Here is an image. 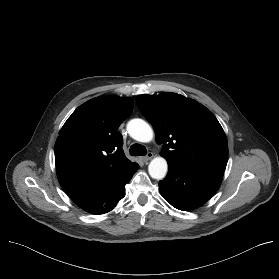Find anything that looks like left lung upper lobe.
<instances>
[{
	"label": "left lung upper lobe",
	"mask_w": 279,
	"mask_h": 279,
	"mask_svg": "<svg viewBox=\"0 0 279 279\" xmlns=\"http://www.w3.org/2000/svg\"><path fill=\"white\" fill-rule=\"evenodd\" d=\"M136 103L152 124L161 155L168 162L224 172L228 160L226 135L211 111L176 93L139 95Z\"/></svg>",
	"instance_id": "left-lung-upper-lobe-1"
}]
</instances>
